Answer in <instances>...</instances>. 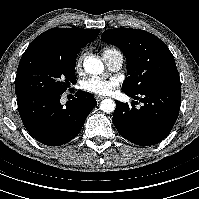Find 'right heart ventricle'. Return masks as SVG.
I'll list each match as a JSON object with an SVG mask.
<instances>
[{
    "label": "right heart ventricle",
    "instance_id": "right-heart-ventricle-1",
    "mask_svg": "<svg viewBox=\"0 0 199 199\" xmlns=\"http://www.w3.org/2000/svg\"><path fill=\"white\" fill-rule=\"evenodd\" d=\"M114 51H118V50H116L115 48H112V47H108V48H105L104 50H103V57H104V59L107 57V56H109L112 52H114Z\"/></svg>",
    "mask_w": 199,
    "mask_h": 199
}]
</instances>
